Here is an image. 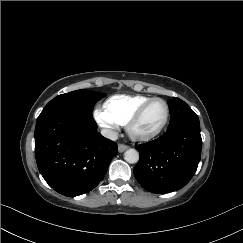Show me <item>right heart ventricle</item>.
Returning <instances> with one entry per match:
<instances>
[{
	"instance_id": "1",
	"label": "right heart ventricle",
	"mask_w": 243,
	"mask_h": 243,
	"mask_svg": "<svg viewBox=\"0 0 243 243\" xmlns=\"http://www.w3.org/2000/svg\"><path fill=\"white\" fill-rule=\"evenodd\" d=\"M150 99L144 95H114L105 102L104 109L119 125H126L136 110Z\"/></svg>"
}]
</instances>
